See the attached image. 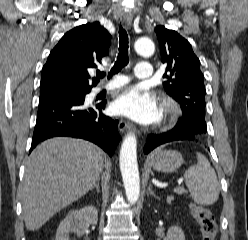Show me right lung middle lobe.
I'll return each instance as SVG.
<instances>
[{"label":"right lung middle lobe","mask_w":248,"mask_h":240,"mask_svg":"<svg viewBox=\"0 0 248 240\" xmlns=\"http://www.w3.org/2000/svg\"><path fill=\"white\" fill-rule=\"evenodd\" d=\"M85 94H80V95H76V96H84Z\"/></svg>","instance_id":"dd1d6c3e"}]
</instances>
